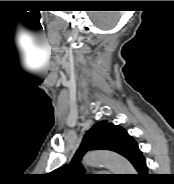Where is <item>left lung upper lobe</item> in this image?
<instances>
[{"label":"left lung upper lobe","instance_id":"obj_1","mask_svg":"<svg viewBox=\"0 0 174 184\" xmlns=\"http://www.w3.org/2000/svg\"><path fill=\"white\" fill-rule=\"evenodd\" d=\"M135 143L134 139L121 126L108 123L106 120L100 121L87 132L69 165L60 167L50 174L60 183H77L95 178V175L84 174V169L80 164V160L87 150L107 149L125 157Z\"/></svg>","mask_w":174,"mask_h":184}]
</instances>
